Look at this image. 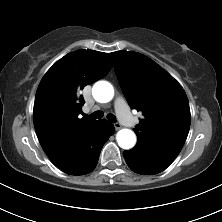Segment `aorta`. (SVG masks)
<instances>
[{
    "label": "aorta",
    "instance_id": "aorta-1",
    "mask_svg": "<svg viewBox=\"0 0 222 222\" xmlns=\"http://www.w3.org/2000/svg\"><path fill=\"white\" fill-rule=\"evenodd\" d=\"M92 95L94 99L100 103H107L112 100L114 96L113 86L107 81H98L92 88ZM116 139L118 145L123 149H130L136 143V135L130 129H122L117 135Z\"/></svg>",
    "mask_w": 222,
    "mask_h": 222
}]
</instances>
